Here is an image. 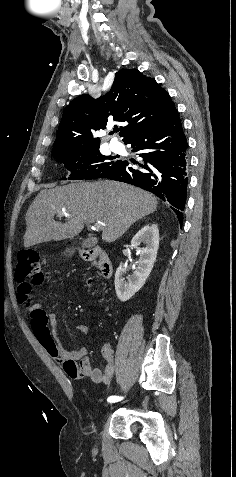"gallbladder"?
<instances>
[{"label":"gallbladder","instance_id":"bac80fb5","mask_svg":"<svg viewBox=\"0 0 236 477\" xmlns=\"http://www.w3.org/2000/svg\"><path fill=\"white\" fill-rule=\"evenodd\" d=\"M95 244H96V240H94L92 238H87V239L82 241V247H85V248H90V247L94 246ZM74 252H75V248L72 247V248H67L65 253H68L69 255H71Z\"/></svg>","mask_w":236,"mask_h":477}]
</instances>
